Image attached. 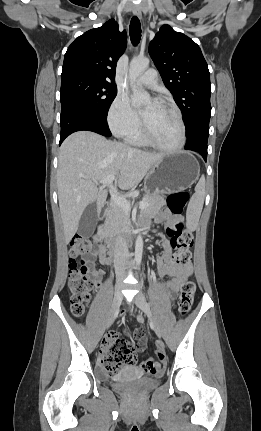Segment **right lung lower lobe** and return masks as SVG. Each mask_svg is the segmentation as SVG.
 <instances>
[{
    "label": "right lung lower lobe",
    "instance_id": "right-lung-lower-lobe-1",
    "mask_svg": "<svg viewBox=\"0 0 261 431\" xmlns=\"http://www.w3.org/2000/svg\"><path fill=\"white\" fill-rule=\"evenodd\" d=\"M60 143L71 133L81 130L92 131L103 136H111L106 118L84 112L71 104H61Z\"/></svg>",
    "mask_w": 261,
    "mask_h": 431
}]
</instances>
